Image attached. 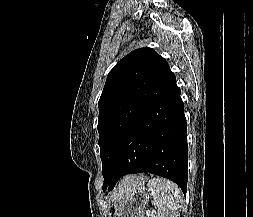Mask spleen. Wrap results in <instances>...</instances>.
Segmentation results:
<instances>
[{
  "label": "spleen",
  "instance_id": "obj_1",
  "mask_svg": "<svg viewBox=\"0 0 253 217\" xmlns=\"http://www.w3.org/2000/svg\"><path fill=\"white\" fill-rule=\"evenodd\" d=\"M147 186L153 198L152 204L155 207L156 216L177 217L182 203L180 188L164 178H152L148 181Z\"/></svg>",
  "mask_w": 253,
  "mask_h": 217
}]
</instances>
